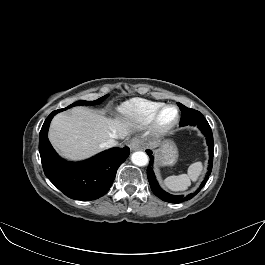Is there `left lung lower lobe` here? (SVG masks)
I'll return each mask as SVG.
<instances>
[{"mask_svg": "<svg viewBox=\"0 0 265 265\" xmlns=\"http://www.w3.org/2000/svg\"><path fill=\"white\" fill-rule=\"evenodd\" d=\"M187 125L197 126L201 132L206 137L207 145H208V151H209V166H208V172L206 173V176L198 189L188 195H172L166 191H164L160 185L158 184V181L156 180V176L153 171V155L152 151L146 150L147 154L150 157V163L147 168V178L151 187L152 192L159 197L161 200L165 202L170 203H181L184 201H187L189 199H192L205 185L206 181L208 180L210 173L212 171V165H213V151H214V140H213V134L212 130L207 122V120L203 117L200 119H196L192 122H190ZM186 126V125H185Z\"/></svg>", "mask_w": 265, "mask_h": 265, "instance_id": "obj_1", "label": "left lung lower lobe"}]
</instances>
